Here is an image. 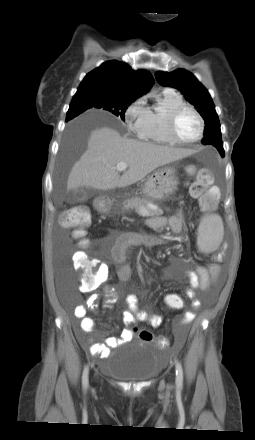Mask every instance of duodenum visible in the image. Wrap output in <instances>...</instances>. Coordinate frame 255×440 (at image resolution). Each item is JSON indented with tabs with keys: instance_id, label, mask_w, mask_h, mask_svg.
Returning a JSON list of instances; mask_svg holds the SVG:
<instances>
[{
	"instance_id": "obj_1",
	"label": "duodenum",
	"mask_w": 255,
	"mask_h": 440,
	"mask_svg": "<svg viewBox=\"0 0 255 440\" xmlns=\"http://www.w3.org/2000/svg\"><path fill=\"white\" fill-rule=\"evenodd\" d=\"M96 207L99 211L105 212L107 207H106V202L104 199H100L97 203H96Z\"/></svg>"
}]
</instances>
